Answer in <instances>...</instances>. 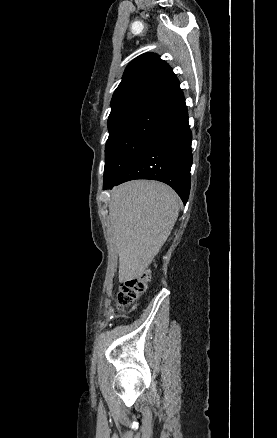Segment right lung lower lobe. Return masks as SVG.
Listing matches in <instances>:
<instances>
[{
  "instance_id": "1",
  "label": "right lung lower lobe",
  "mask_w": 277,
  "mask_h": 438,
  "mask_svg": "<svg viewBox=\"0 0 277 438\" xmlns=\"http://www.w3.org/2000/svg\"><path fill=\"white\" fill-rule=\"evenodd\" d=\"M192 134L184 98L173 105L121 175L104 189L134 179H152L170 185L186 204L190 192Z\"/></svg>"
}]
</instances>
